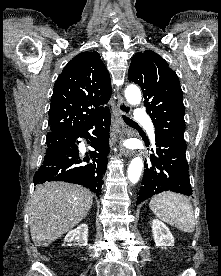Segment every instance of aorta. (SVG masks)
<instances>
[{
	"label": "aorta",
	"instance_id": "1",
	"mask_svg": "<svg viewBox=\"0 0 221 276\" xmlns=\"http://www.w3.org/2000/svg\"><path fill=\"white\" fill-rule=\"evenodd\" d=\"M125 97L128 103L131 105H139L141 102V92L137 86L130 85L125 90ZM143 169V160L141 157H135L132 159L128 168V179L131 183L138 182Z\"/></svg>",
	"mask_w": 221,
	"mask_h": 276
}]
</instances>
